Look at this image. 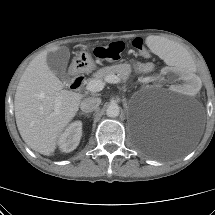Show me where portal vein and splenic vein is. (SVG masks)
Segmentation results:
<instances>
[{
  "label": "portal vein and splenic vein",
  "instance_id": "obj_1",
  "mask_svg": "<svg viewBox=\"0 0 215 215\" xmlns=\"http://www.w3.org/2000/svg\"><path fill=\"white\" fill-rule=\"evenodd\" d=\"M105 81L107 83H119L120 82V78L116 75H109L105 78ZM104 88V82H102L101 80H91L87 83L86 85V89L90 92H99Z\"/></svg>",
  "mask_w": 215,
  "mask_h": 215
}]
</instances>
